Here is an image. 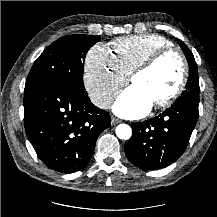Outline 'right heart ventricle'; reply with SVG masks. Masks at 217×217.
I'll return each instance as SVG.
<instances>
[{"label":"right heart ventricle","mask_w":217,"mask_h":217,"mask_svg":"<svg viewBox=\"0 0 217 217\" xmlns=\"http://www.w3.org/2000/svg\"><path fill=\"white\" fill-rule=\"evenodd\" d=\"M114 59L127 75L163 49L172 48V43L157 34L121 37L112 42Z\"/></svg>","instance_id":"right-heart-ventricle-1"}]
</instances>
